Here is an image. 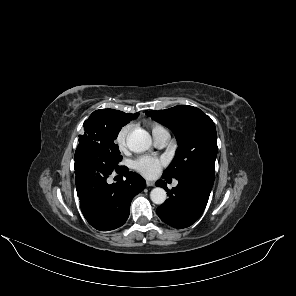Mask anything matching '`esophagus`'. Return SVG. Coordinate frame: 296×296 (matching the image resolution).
<instances>
[{
    "label": "esophagus",
    "instance_id": "34e87169",
    "mask_svg": "<svg viewBox=\"0 0 296 296\" xmlns=\"http://www.w3.org/2000/svg\"><path fill=\"white\" fill-rule=\"evenodd\" d=\"M146 185H147L148 187H151V186H154V185H155V182H154V181H151V180H147V181H146Z\"/></svg>",
    "mask_w": 296,
    "mask_h": 296
}]
</instances>
